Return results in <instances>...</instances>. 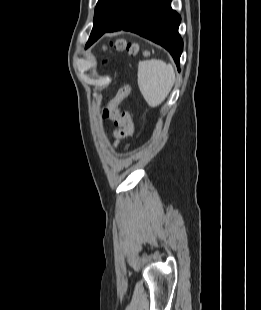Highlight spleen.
<instances>
[{
  "mask_svg": "<svg viewBox=\"0 0 261 310\" xmlns=\"http://www.w3.org/2000/svg\"><path fill=\"white\" fill-rule=\"evenodd\" d=\"M137 80L139 89L150 107L160 105L171 91L175 73L171 64L157 59L138 63Z\"/></svg>",
  "mask_w": 261,
  "mask_h": 310,
  "instance_id": "obj_1",
  "label": "spleen"
}]
</instances>
